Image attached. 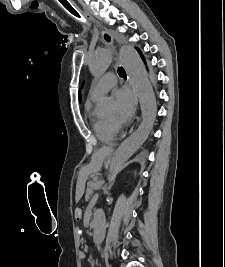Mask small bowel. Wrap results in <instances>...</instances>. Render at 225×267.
<instances>
[{
    "instance_id": "1",
    "label": "small bowel",
    "mask_w": 225,
    "mask_h": 267,
    "mask_svg": "<svg viewBox=\"0 0 225 267\" xmlns=\"http://www.w3.org/2000/svg\"><path fill=\"white\" fill-rule=\"evenodd\" d=\"M79 257H80V259L84 260L86 255L84 252H80Z\"/></svg>"
}]
</instances>
